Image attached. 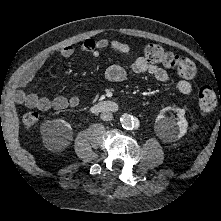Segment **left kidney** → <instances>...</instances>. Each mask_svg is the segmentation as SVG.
Segmentation results:
<instances>
[{"label":"left kidney","instance_id":"left-kidney-1","mask_svg":"<svg viewBox=\"0 0 221 221\" xmlns=\"http://www.w3.org/2000/svg\"><path fill=\"white\" fill-rule=\"evenodd\" d=\"M173 110L177 113V121L165 117L166 111ZM188 128V122L185 118V110L180 108L165 107L158 114L155 122V130L159 137L166 141H175L182 138Z\"/></svg>","mask_w":221,"mask_h":221}]
</instances>
